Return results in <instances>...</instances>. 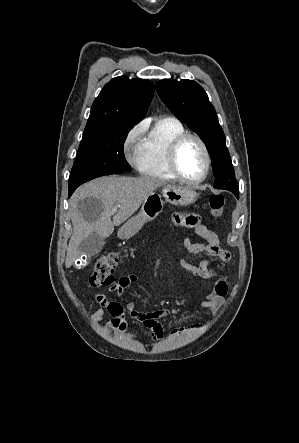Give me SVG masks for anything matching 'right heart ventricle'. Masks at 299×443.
<instances>
[{
  "label": "right heart ventricle",
  "mask_w": 299,
  "mask_h": 443,
  "mask_svg": "<svg viewBox=\"0 0 299 443\" xmlns=\"http://www.w3.org/2000/svg\"><path fill=\"white\" fill-rule=\"evenodd\" d=\"M185 132L184 125L176 118L157 120L142 139L138 165L141 174L155 179L176 180L168 165V149L172 141Z\"/></svg>",
  "instance_id": "right-heart-ventricle-1"
}]
</instances>
